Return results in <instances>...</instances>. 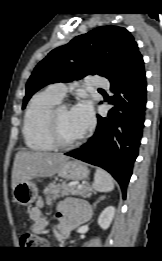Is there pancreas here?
Instances as JSON below:
<instances>
[{
	"mask_svg": "<svg viewBox=\"0 0 162 261\" xmlns=\"http://www.w3.org/2000/svg\"><path fill=\"white\" fill-rule=\"evenodd\" d=\"M92 191V188L88 183L82 185L81 189H78L76 185H67L63 183H51L44 189V194L46 196L47 204H51L52 200L57 198L68 196V195H79L82 197H88L89 192Z\"/></svg>",
	"mask_w": 162,
	"mask_h": 261,
	"instance_id": "obj_1",
	"label": "pancreas"
}]
</instances>
